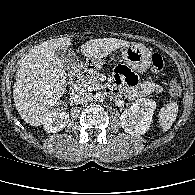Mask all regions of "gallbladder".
Listing matches in <instances>:
<instances>
[{
  "label": "gallbladder",
  "instance_id": "1",
  "mask_svg": "<svg viewBox=\"0 0 195 195\" xmlns=\"http://www.w3.org/2000/svg\"><path fill=\"white\" fill-rule=\"evenodd\" d=\"M57 55L66 70L73 71L76 69L78 65V58L71 48L59 49L57 51Z\"/></svg>",
  "mask_w": 195,
  "mask_h": 195
}]
</instances>
